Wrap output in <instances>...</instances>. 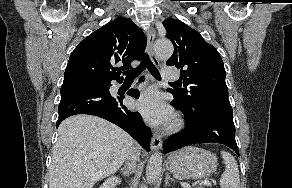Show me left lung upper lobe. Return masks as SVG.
I'll list each match as a JSON object with an SVG mask.
<instances>
[{"mask_svg": "<svg viewBox=\"0 0 292 188\" xmlns=\"http://www.w3.org/2000/svg\"><path fill=\"white\" fill-rule=\"evenodd\" d=\"M174 53L166 62L181 70L180 82L185 88L169 89L174 101L193 117L212 106H231L225 82L226 71L216 48L179 20L163 21Z\"/></svg>", "mask_w": 292, "mask_h": 188, "instance_id": "obj_1", "label": "left lung upper lobe"}]
</instances>
